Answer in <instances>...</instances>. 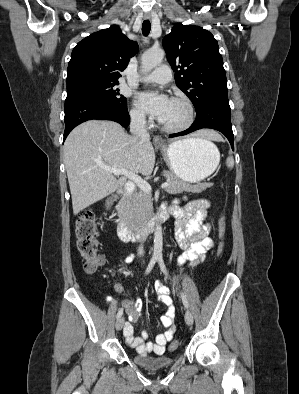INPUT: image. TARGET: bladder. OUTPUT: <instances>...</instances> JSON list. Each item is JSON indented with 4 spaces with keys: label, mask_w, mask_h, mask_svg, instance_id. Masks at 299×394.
I'll list each match as a JSON object with an SVG mask.
<instances>
[{
    "label": "bladder",
    "mask_w": 299,
    "mask_h": 394,
    "mask_svg": "<svg viewBox=\"0 0 299 394\" xmlns=\"http://www.w3.org/2000/svg\"><path fill=\"white\" fill-rule=\"evenodd\" d=\"M174 361L175 358L171 355L148 356L138 354L134 357V362L137 366L150 372H157L163 368L169 367Z\"/></svg>",
    "instance_id": "obj_1"
}]
</instances>
